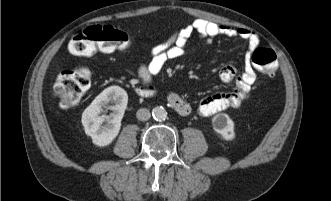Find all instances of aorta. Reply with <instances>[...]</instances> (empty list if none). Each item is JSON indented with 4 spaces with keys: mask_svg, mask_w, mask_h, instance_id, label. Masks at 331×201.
<instances>
[{
    "mask_svg": "<svg viewBox=\"0 0 331 201\" xmlns=\"http://www.w3.org/2000/svg\"><path fill=\"white\" fill-rule=\"evenodd\" d=\"M152 116L156 121H163L167 118V111L162 106H156L152 110Z\"/></svg>",
    "mask_w": 331,
    "mask_h": 201,
    "instance_id": "aorta-1",
    "label": "aorta"
}]
</instances>
